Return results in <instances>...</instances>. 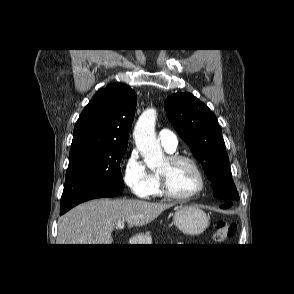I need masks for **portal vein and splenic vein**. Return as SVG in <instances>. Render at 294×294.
<instances>
[{
  "mask_svg": "<svg viewBox=\"0 0 294 294\" xmlns=\"http://www.w3.org/2000/svg\"><path fill=\"white\" fill-rule=\"evenodd\" d=\"M116 227H117L118 229H124V222H118V223L116 224Z\"/></svg>",
  "mask_w": 294,
  "mask_h": 294,
  "instance_id": "portal-vein-and-splenic-vein-1",
  "label": "portal vein and splenic vein"
}]
</instances>
